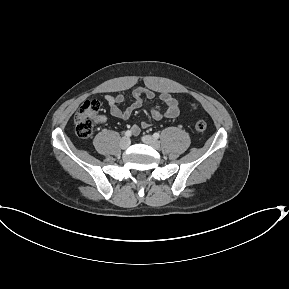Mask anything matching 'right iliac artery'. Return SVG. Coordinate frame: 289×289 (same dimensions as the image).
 <instances>
[{"mask_svg":"<svg viewBox=\"0 0 289 289\" xmlns=\"http://www.w3.org/2000/svg\"><path fill=\"white\" fill-rule=\"evenodd\" d=\"M132 135V132L130 131V130H127L126 132H125V136L126 137H130Z\"/></svg>","mask_w":289,"mask_h":289,"instance_id":"obj_1","label":"right iliac artery"}]
</instances>
